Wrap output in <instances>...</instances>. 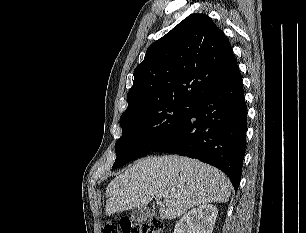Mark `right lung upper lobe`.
Returning <instances> with one entry per match:
<instances>
[{
  "label": "right lung upper lobe",
  "mask_w": 306,
  "mask_h": 233,
  "mask_svg": "<svg viewBox=\"0 0 306 233\" xmlns=\"http://www.w3.org/2000/svg\"><path fill=\"white\" fill-rule=\"evenodd\" d=\"M239 76L225 34L207 15L191 14L147 49L134 70L123 114L163 99L198 104Z\"/></svg>",
  "instance_id": "right-lung-upper-lobe-1"
}]
</instances>
